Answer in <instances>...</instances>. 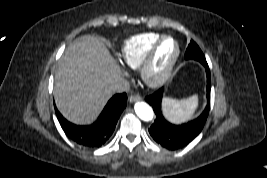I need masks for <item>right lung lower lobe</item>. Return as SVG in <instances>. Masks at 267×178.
<instances>
[{
    "instance_id": "obj_1",
    "label": "right lung lower lobe",
    "mask_w": 267,
    "mask_h": 178,
    "mask_svg": "<svg viewBox=\"0 0 267 178\" xmlns=\"http://www.w3.org/2000/svg\"><path fill=\"white\" fill-rule=\"evenodd\" d=\"M125 93L114 95L104 107L97 121L91 125L80 126L67 121L55 108L57 118L65 134L75 143L97 148L102 146L114 132L117 121L126 107Z\"/></svg>"
}]
</instances>
